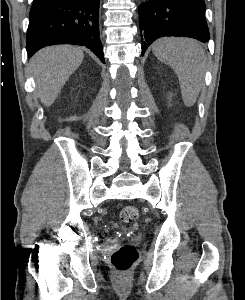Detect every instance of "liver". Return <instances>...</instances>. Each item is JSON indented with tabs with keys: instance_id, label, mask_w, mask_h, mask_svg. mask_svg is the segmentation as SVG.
<instances>
[{
	"instance_id": "6515ba94",
	"label": "liver",
	"mask_w": 245,
	"mask_h": 300,
	"mask_svg": "<svg viewBox=\"0 0 245 300\" xmlns=\"http://www.w3.org/2000/svg\"><path fill=\"white\" fill-rule=\"evenodd\" d=\"M83 58V51L70 45L47 47L31 58L29 68L35 79L36 93L46 107L53 104Z\"/></svg>"
}]
</instances>
